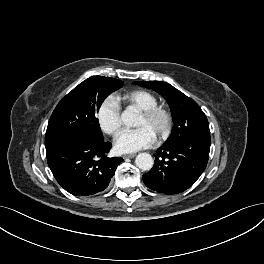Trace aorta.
I'll use <instances>...</instances> for the list:
<instances>
[{
    "label": "aorta",
    "mask_w": 264,
    "mask_h": 264,
    "mask_svg": "<svg viewBox=\"0 0 264 264\" xmlns=\"http://www.w3.org/2000/svg\"><path fill=\"white\" fill-rule=\"evenodd\" d=\"M121 121L128 127H133L137 121V114L133 107L126 108L121 114ZM136 166L143 170L148 171L153 167L154 161L150 154L140 153L135 159Z\"/></svg>",
    "instance_id": "aorta-1"
}]
</instances>
